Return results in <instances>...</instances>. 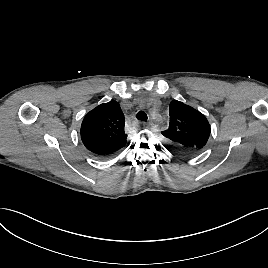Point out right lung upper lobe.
<instances>
[{
	"label": "right lung upper lobe",
	"mask_w": 268,
	"mask_h": 268,
	"mask_svg": "<svg viewBox=\"0 0 268 268\" xmlns=\"http://www.w3.org/2000/svg\"><path fill=\"white\" fill-rule=\"evenodd\" d=\"M125 117L115 100L103 103L88 112L81 124L85 147L100 157L115 154L126 144Z\"/></svg>",
	"instance_id": "obj_1"
}]
</instances>
